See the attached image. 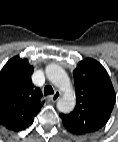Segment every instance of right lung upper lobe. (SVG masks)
I'll return each instance as SVG.
<instances>
[{
	"label": "right lung upper lobe",
	"instance_id": "cb5924a9",
	"mask_svg": "<svg viewBox=\"0 0 118 142\" xmlns=\"http://www.w3.org/2000/svg\"><path fill=\"white\" fill-rule=\"evenodd\" d=\"M33 71L27 59L16 56L0 72V124L9 130L28 128L43 106L42 92L31 82Z\"/></svg>",
	"mask_w": 118,
	"mask_h": 142
}]
</instances>
